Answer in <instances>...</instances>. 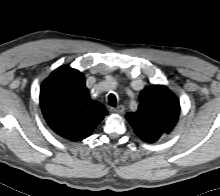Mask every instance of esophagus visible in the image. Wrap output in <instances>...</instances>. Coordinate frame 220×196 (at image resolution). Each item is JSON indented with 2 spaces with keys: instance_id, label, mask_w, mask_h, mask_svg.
Here are the masks:
<instances>
[{
  "instance_id": "34e87169",
  "label": "esophagus",
  "mask_w": 220,
  "mask_h": 196,
  "mask_svg": "<svg viewBox=\"0 0 220 196\" xmlns=\"http://www.w3.org/2000/svg\"><path fill=\"white\" fill-rule=\"evenodd\" d=\"M110 111H111L112 113L122 114V113L124 112V107H123L122 105H120V106H118V107H116V108L112 107V108L110 109Z\"/></svg>"
}]
</instances>
